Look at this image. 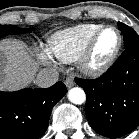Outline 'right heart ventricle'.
Returning <instances> with one entry per match:
<instances>
[{
  "label": "right heart ventricle",
  "mask_w": 139,
  "mask_h": 139,
  "mask_svg": "<svg viewBox=\"0 0 139 139\" xmlns=\"http://www.w3.org/2000/svg\"><path fill=\"white\" fill-rule=\"evenodd\" d=\"M102 26V24L86 23L58 31L47 41L48 52L62 62H75L89 39Z\"/></svg>",
  "instance_id": "obj_1"
}]
</instances>
